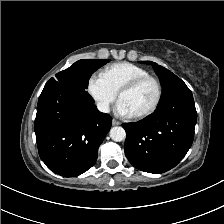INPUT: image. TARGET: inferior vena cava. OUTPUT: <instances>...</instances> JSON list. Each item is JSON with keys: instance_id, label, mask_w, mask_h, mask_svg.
<instances>
[{"instance_id": "inferior-vena-cava-1", "label": "inferior vena cava", "mask_w": 224, "mask_h": 224, "mask_svg": "<svg viewBox=\"0 0 224 224\" xmlns=\"http://www.w3.org/2000/svg\"><path fill=\"white\" fill-rule=\"evenodd\" d=\"M97 108L100 112L108 113L110 111L109 104L107 102H98Z\"/></svg>"}]
</instances>
